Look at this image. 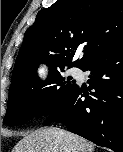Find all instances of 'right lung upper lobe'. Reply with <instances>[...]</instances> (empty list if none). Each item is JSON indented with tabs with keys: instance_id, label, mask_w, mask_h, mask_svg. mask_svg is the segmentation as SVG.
Instances as JSON below:
<instances>
[{
	"instance_id": "cb5924a9",
	"label": "right lung upper lobe",
	"mask_w": 123,
	"mask_h": 152,
	"mask_svg": "<svg viewBox=\"0 0 123 152\" xmlns=\"http://www.w3.org/2000/svg\"><path fill=\"white\" fill-rule=\"evenodd\" d=\"M123 40V0H57L40 10L26 31L12 73L9 94L38 77L45 62L50 72L84 68L98 53ZM81 60L71 63L77 49Z\"/></svg>"
}]
</instances>
